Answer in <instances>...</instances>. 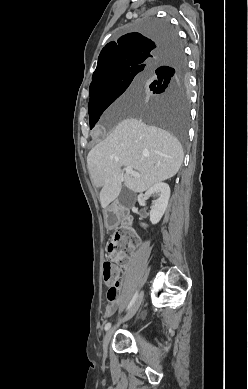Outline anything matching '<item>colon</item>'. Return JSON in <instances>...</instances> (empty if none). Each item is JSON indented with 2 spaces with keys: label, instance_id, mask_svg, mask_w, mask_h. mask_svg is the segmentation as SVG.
Here are the masks:
<instances>
[{
  "label": "colon",
  "instance_id": "colon-1",
  "mask_svg": "<svg viewBox=\"0 0 248 389\" xmlns=\"http://www.w3.org/2000/svg\"><path fill=\"white\" fill-rule=\"evenodd\" d=\"M135 245L136 240L126 229L116 233L108 244L107 252L111 260L106 261L103 265L104 285L109 287L107 291L108 301H115L119 292L121 273L115 262L128 260V255Z\"/></svg>",
  "mask_w": 248,
  "mask_h": 389
}]
</instances>
